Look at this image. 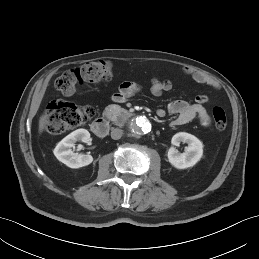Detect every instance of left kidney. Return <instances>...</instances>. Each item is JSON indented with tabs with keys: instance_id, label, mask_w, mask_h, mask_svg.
<instances>
[{
	"instance_id": "1",
	"label": "left kidney",
	"mask_w": 259,
	"mask_h": 259,
	"mask_svg": "<svg viewBox=\"0 0 259 259\" xmlns=\"http://www.w3.org/2000/svg\"><path fill=\"white\" fill-rule=\"evenodd\" d=\"M181 142L188 144L185 152L179 153L176 148L171 147L168 151V160L175 168L186 169L200 161L203 155V144L194 135L185 132H179L172 137V145L179 146Z\"/></svg>"
}]
</instances>
